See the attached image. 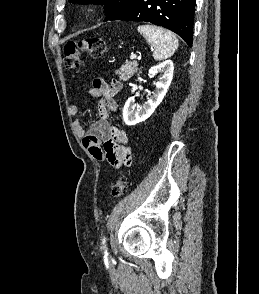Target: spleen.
<instances>
[{"label":"spleen","instance_id":"obj_1","mask_svg":"<svg viewBox=\"0 0 259 294\" xmlns=\"http://www.w3.org/2000/svg\"><path fill=\"white\" fill-rule=\"evenodd\" d=\"M137 30L154 48L153 58L157 61L171 57L178 48V39L169 30L154 25H140Z\"/></svg>","mask_w":259,"mask_h":294}]
</instances>
